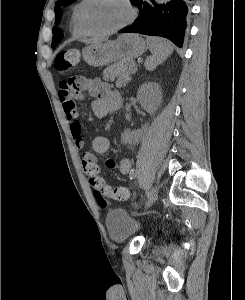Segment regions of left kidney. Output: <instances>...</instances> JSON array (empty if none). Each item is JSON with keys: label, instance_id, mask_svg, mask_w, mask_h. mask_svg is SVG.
Returning a JSON list of instances; mask_svg holds the SVG:
<instances>
[{"label": "left kidney", "instance_id": "left-kidney-1", "mask_svg": "<svg viewBox=\"0 0 245 300\" xmlns=\"http://www.w3.org/2000/svg\"><path fill=\"white\" fill-rule=\"evenodd\" d=\"M162 92L157 83L148 82L143 84L137 93V100L142 108L148 113L153 114L158 106L161 104ZM134 137L133 132H125L123 135L124 140H132Z\"/></svg>", "mask_w": 245, "mask_h": 300}]
</instances>
